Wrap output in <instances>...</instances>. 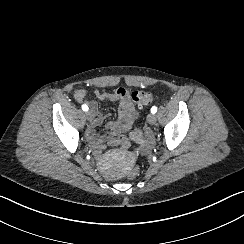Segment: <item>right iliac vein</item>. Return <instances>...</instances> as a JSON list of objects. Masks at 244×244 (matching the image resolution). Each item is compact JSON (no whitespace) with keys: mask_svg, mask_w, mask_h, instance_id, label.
Returning <instances> with one entry per match:
<instances>
[{"mask_svg":"<svg viewBox=\"0 0 244 244\" xmlns=\"http://www.w3.org/2000/svg\"><path fill=\"white\" fill-rule=\"evenodd\" d=\"M85 116L87 117V120L92 121L94 119V113L92 110H89L85 113Z\"/></svg>","mask_w":244,"mask_h":244,"instance_id":"obj_1","label":"right iliac vein"}]
</instances>
